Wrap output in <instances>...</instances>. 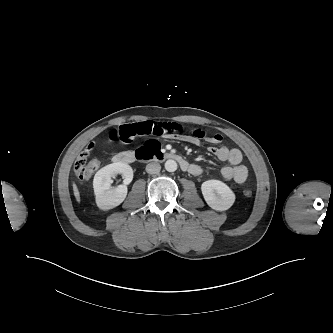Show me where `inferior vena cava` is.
I'll list each match as a JSON object with an SVG mask.
<instances>
[{"mask_svg": "<svg viewBox=\"0 0 333 333\" xmlns=\"http://www.w3.org/2000/svg\"><path fill=\"white\" fill-rule=\"evenodd\" d=\"M161 170V166L159 163L153 162V163H149L146 166V171L149 174H158Z\"/></svg>", "mask_w": 333, "mask_h": 333, "instance_id": "inferior-vena-cava-1", "label": "inferior vena cava"}]
</instances>
